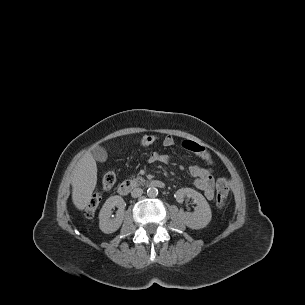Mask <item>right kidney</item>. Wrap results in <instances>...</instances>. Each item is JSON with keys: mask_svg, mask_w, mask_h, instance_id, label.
<instances>
[{"mask_svg": "<svg viewBox=\"0 0 305 305\" xmlns=\"http://www.w3.org/2000/svg\"><path fill=\"white\" fill-rule=\"evenodd\" d=\"M115 206L118 210L115 217H112L111 210ZM125 206V201L119 195L111 196L105 201L99 213V227L102 232L109 234L120 228L124 218Z\"/></svg>", "mask_w": 305, "mask_h": 305, "instance_id": "1", "label": "right kidney"}]
</instances>
